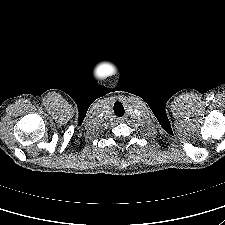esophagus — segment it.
Segmentation results:
<instances>
[{"mask_svg": "<svg viewBox=\"0 0 225 225\" xmlns=\"http://www.w3.org/2000/svg\"><path fill=\"white\" fill-rule=\"evenodd\" d=\"M125 119H126V118H124V117H120V118H118V121H119V122H123V121H125Z\"/></svg>", "mask_w": 225, "mask_h": 225, "instance_id": "34e87169", "label": "esophagus"}]
</instances>
